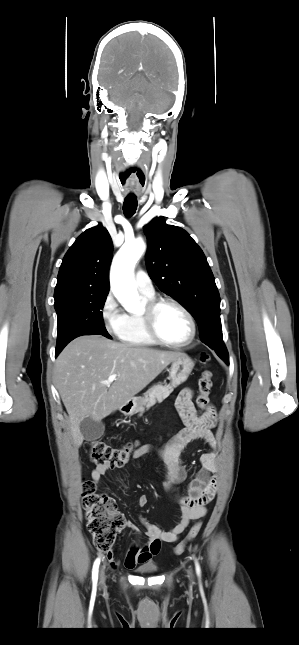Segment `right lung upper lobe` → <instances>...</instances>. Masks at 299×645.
<instances>
[{
    "label": "right lung upper lobe",
    "instance_id": "right-lung-upper-lobe-1",
    "mask_svg": "<svg viewBox=\"0 0 299 645\" xmlns=\"http://www.w3.org/2000/svg\"><path fill=\"white\" fill-rule=\"evenodd\" d=\"M112 251L111 237L102 225L82 233L63 258L54 292L55 303L73 295L108 293Z\"/></svg>",
    "mask_w": 299,
    "mask_h": 645
}]
</instances>
